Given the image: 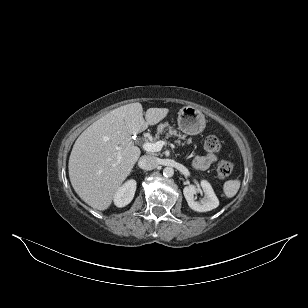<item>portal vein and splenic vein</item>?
Returning a JSON list of instances; mask_svg holds the SVG:
<instances>
[{"mask_svg": "<svg viewBox=\"0 0 308 308\" xmlns=\"http://www.w3.org/2000/svg\"><path fill=\"white\" fill-rule=\"evenodd\" d=\"M167 145L166 141L159 140L155 143L145 142L143 144V149L148 152H158L162 149L163 146ZM121 155H118L117 163H120Z\"/></svg>", "mask_w": 308, "mask_h": 308, "instance_id": "1", "label": "portal vein and splenic vein"}]
</instances>
